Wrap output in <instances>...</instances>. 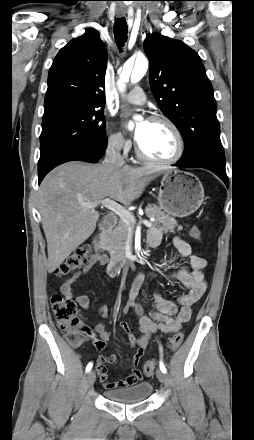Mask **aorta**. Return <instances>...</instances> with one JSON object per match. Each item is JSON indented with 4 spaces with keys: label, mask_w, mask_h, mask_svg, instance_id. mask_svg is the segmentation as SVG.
<instances>
[{
    "label": "aorta",
    "mask_w": 254,
    "mask_h": 440,
    "mask_svg": "<svg viewBox=\"0 0 254 440\" xmlns=\"http://www.w3.org/2000/svg\"><path fill=\"white\" fill-rule=\"evenodd\" d=\"M148 60L144 56H139L134 61H127L120 74V79L117 83L118 88L121 92L125 91V83H127L131 77V80L138 82L147 72ZM134 124L129 123V129H133Z\"/></svg>",
    "instance_id": "762f6f07"
}]
</instances>
